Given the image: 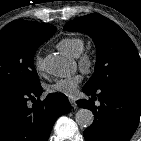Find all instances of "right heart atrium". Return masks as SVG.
I'll return each mask as SVG.
<instances>
[{
	"label": "right heart atrium",
	"mask_w": 141,
	"mask_h": 141,
	"mask_svg": "<svg viewBox=\"0 0 141 141\" xmlns=\"http://www.w3.org/2000/svg\"><path fill=\"white\" fill-rule=\"evenodd\" d=\"M34 67L37 72H42L44 70L43 59L40 54L34 57Z\"/></svg>",
	"instance_id": "obj_1"
}]
</instances>
